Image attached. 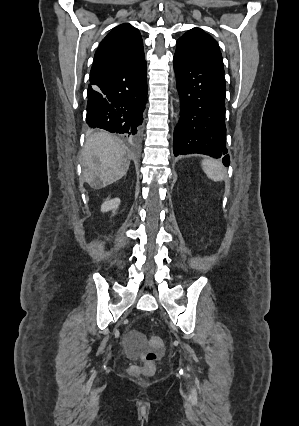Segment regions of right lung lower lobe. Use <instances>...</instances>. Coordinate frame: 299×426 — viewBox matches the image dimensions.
<instances>
[{
	"mask_svg": "<svg viewBox=\"0 0 299 426\" xmlns=\"http://www.w3.org/2000/svg\"><path fill=\"white\" fill-rule=\"evenodd\" d=\"M87 124L136 139L147 101L146 61L90 75Z\"/></svg>",
	"mask_w": 299,
	"mask_h": 426,
	"instance_id": "1",
	"label": "right lung lower lobe"
}]
</instances>
